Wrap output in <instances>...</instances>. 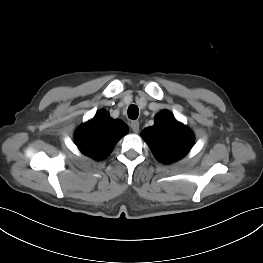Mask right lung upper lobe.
<instances>
[{"label":"right lung upper lobe","instance_id":"right-lung-upper-lobe-1","mask_svg":"<svg viewBox=\"0 0 263 263\" xmlns=\"http://www.w3.org/2000/svg\"><path fill=\"white\" fill-rule=\"evenodd\" d=\"M127 130L124 122L110 118L105 110H101L77 129L75 143L85 155L100 161L109 155Z\"/></svg>","mask_w":263,"mask_h":263}]
</instances>
